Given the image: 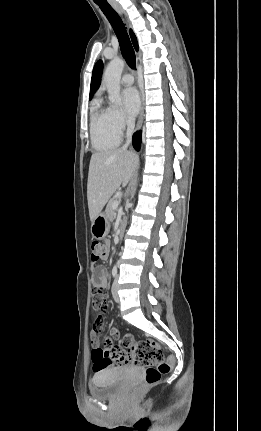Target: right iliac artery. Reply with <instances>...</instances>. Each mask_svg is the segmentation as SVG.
I'll return each instance as SVG.
<instances>
[{
	"label": "right iliac artery",
	"instance_id": "82829eb1",
	"mask_svg": "<svg viewBox=\"0 0 261 431\" xmlns=\"http://www.w3.org/2000/svg\"><path fill=\"white\" fill-rule=\"evenodd\" d=\"M112 275H113V277H114V278H116V277H117V269H116V268H114V269L112 270Z\"/></svg>",
	"mask_w": 261,
	"mask_h": 431
}]
</instances>
